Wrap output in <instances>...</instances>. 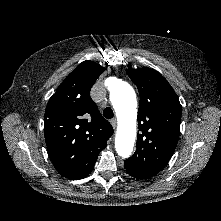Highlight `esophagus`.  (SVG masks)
Segmentation results:
<instances>
[{"label": "esophagus", "instance_id": "1", "mask_svg": "<svg viewBox=\"0 0 221 221\" xmlns=\"http://www.w3.org/2000/svg\"><path fill=\"white\" fill-rule=\"evenodd\" d=\"M110 123H111V125H112L113 128H116V125H117V120H116V118L111 119V120H110Z\"/></svg>", "mask_w": 221, "mask_h": 221}]
</instances>
